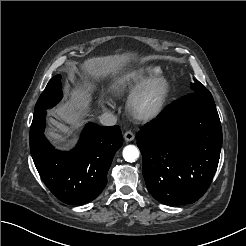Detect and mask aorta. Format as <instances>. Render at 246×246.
I'll return each instance as SVG.
<instances>
[{"mask_svg": "<svg viewBox=\"0 0 246 246\" xmlns=\"http://www.w3.org/2000/svg\"><path fill=\"white\" fill-rule=\"evenodd\" d=\"M139 149L134 145H127L124 147L122 155L125 161L135 162L139 158Z\"/></svg>", "mask_w": 246, "mask_h": 246, "instance_id": "1", "label": "aorta"}]
</instances>
